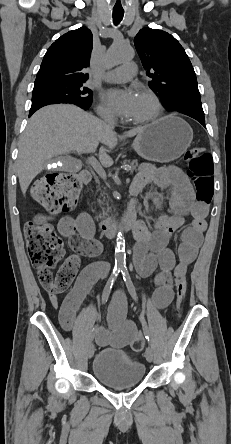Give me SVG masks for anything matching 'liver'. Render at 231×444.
Segmentation results:
<instances>
[{"instance_id":"obj_1","label":"liver","mask_w":231,"mask_h":444,"mask_svg":"<svg viewBox=\"0 0 231 444\" xmlns=\"http://www.w3.org/2000/svg\"><path fill=\"white\" fill-rule=\"evenodd\" d=\"M145 127L128 131L133 137ZM105 167L113 164L108 153L117 145V134L106 123L70 104L48 105L33 114L20 137L17 174L25 195L30 183L41 173L52 157L69 152L95 153Z\"/></svg>"}]
</instances>
